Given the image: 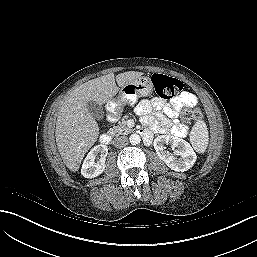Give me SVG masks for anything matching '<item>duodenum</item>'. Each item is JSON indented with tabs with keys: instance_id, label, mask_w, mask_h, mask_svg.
<instances>
[{
	"instance_id": "duodenum-1",
	"label": "duodenum",
	"mask_w": 257,
	"mask_h": 257,
	"mask_svg": "<svg viewBox=\"0 0 257 257\" xmlns=\"http://www.w3.org/2000/svg\"><path fill=\"white\" fill-rule=\"evenodd\" d=\"M110 119L111 120H114L115 119V115L114 114H111L110 115ZM140 134L145 138L147 139L148 138V134L145 130H140ZM100 142L101 144L103 145H109L111 143V136L108 134V133H104L101 135L100 137Z\"/></svg>"
}]
</instances>
